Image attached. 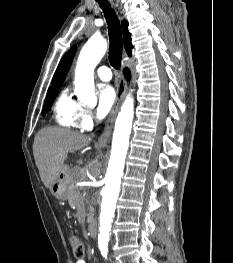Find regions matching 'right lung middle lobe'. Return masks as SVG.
Wrapping results in <instances>:
<instances>
[{
    "instance_id": "1",
    "label": "right lung middle lobe",
    "mask_w": 233,
    "mask_h": 263,
    "mask_svg": "<svg viewBox=\"0 0 233 263\" xmlns=\"http://www.w3.org/2000/svg\"><path fill=\"white\" fill-rule=\"evenodd\" d=\"M58 88L59 87L48 89L47 97H46L45 103H44L43 115H45L48 108H50L52 106L53 101L57 95V89Z\"/></svg>"
}]
</instances>
